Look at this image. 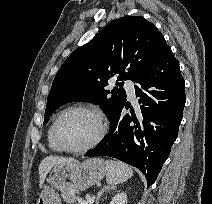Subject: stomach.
I'll list each match as a JSON object with an SVG mask.
<instances>
[{
    "mask_svg": "<svg viewBox=\"0 0 212 204\" xmlns=\"http://www.w3.org/2000/svg\"><path fill=\"white\" fill-rule=\"evenodd\" d=\"M105 174L106 163L101 158L55 165L48 172L47 185L43 187L37 204H61L56 190L83 191L102 180Z\"/></svg>",
    "mask_w": 212,
    "mask_h": 204,
    "instance_id": "1",
    "label": "stomach"
}]
</instances>
